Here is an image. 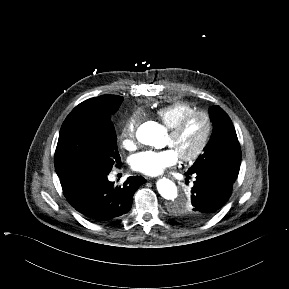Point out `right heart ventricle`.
<instances>
[{"label": "right heart ventricle", "instance_id": "obj_1", "mask_svg": "<svg viewBox=\"0 0 289 289\" xmlns=\"http://www.w3.org/2000/svg\"><path fill=\"white\" fill-rule=\"evenodd\" d=\"M194 110L195 108L189 103L178 101L160 107L156 111V116L163 122L166 127L170 129L181 117Z\"/></svg>", "mask_w": 289, "mask_h": 289}]
</instances>
